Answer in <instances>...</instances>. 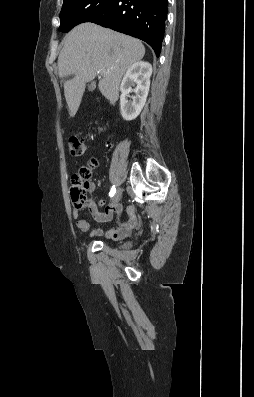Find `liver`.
<instances>
[{
    "mask_svg": "<svg viewBox=\"0 0 254 397\" xmlns=\"http://www.w3.org/2000/svg\"><path fill=\"white\" fill-rule=\"evenodd\" d=\"M144 55L145 47L141 41L128 35L93 23H82L73 28L65 37L58 57L59 76H74L64 81L70 117L78 111L86 83L94 80L99 72H103L99 91L115 104L122 76Z\"/></svg>",
    "mask_w": 254,
    "mask_h": 397,
    "instance_id": "1",
    "label": "liver"
}]
</instances>
